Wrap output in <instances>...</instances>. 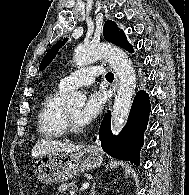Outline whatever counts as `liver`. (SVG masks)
<instances>
[{"mask_svg": "<svg viewBox=\"0 0 189 195\" xmlns=\"http://www.w3.org/2000/svg\"><path fill=\"white\" fill-rule=\"evenodd\" d=\"M84 148L83 145H75L54 140H39L32 148V156L39 158L49 153H74L79 152Z\"/></svg>", "mask_w": 189, "mask_h": 195, "instance_id": "1", "label": "liver"}]
</instances>
